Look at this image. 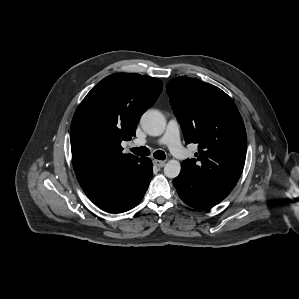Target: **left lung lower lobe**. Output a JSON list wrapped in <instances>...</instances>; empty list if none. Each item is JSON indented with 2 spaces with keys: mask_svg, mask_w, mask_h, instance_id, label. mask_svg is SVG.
<instances>
[{
  "mask_svg": "<svg viewBox=\"0 0 299 299\" xmlns=\"http://www.w3.org/2000/svg\"><path fill=\"white\" fill-rule=\"evenodd\" d=\"M173 184L180 198L197 209L210 208L221 202L231 192V189L224 186L191 175L182 167L179 176L173 180Z\"/></svg>",
  "mask_w": 299,
  "mask_h": 299,
  "instance_id": "obj_1",
  "label": "left lung lower lobe"
}]
</instances>
